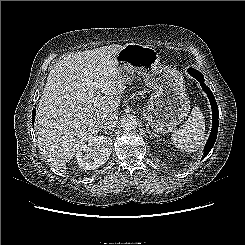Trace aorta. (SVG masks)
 I'll list each match as a JSON object with an SVG mask.
<instances>
[{
	"mask_svg": "<svg viewBox=\"0 0 245 245\" xmlns=\"http://www.w3.org/2000/svg\"><path fill=\"white\" fill-rule=\"evenodd\" d=\"M121 126L125 131L135 130L137 127V121L135 116L127 115L121 119Z\"/></svg>",
	"mask_w": 245,
	"mask_h": 245,
	"instance_id": "1",
	"label": "aorta"
}]
</instances>
